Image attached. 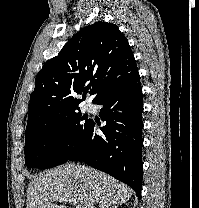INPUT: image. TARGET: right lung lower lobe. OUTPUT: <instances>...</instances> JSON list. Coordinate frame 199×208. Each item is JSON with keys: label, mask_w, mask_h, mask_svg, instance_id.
Instances as JSON below:
<instances>
[{"label": "right lung lower lobe", "mask_w": 199, "mask_h": 208, "mask_svg": "<svg viewBox=\"0 0 199 208\" xmlns=\"http://www.w3.org/2000/svg\"><path fill=\"white\" fill-rule=\"evenodd\" d=\"M94 104L104 106L99 113L101 119L106 121V125L100 128L103 135L95 133L96 125L91 120L68 161L85 162L108 173L129 185L140 198L143 95L139 74L107 91Z\"/></svg>", "instance_id": "1"}]
</instances>
